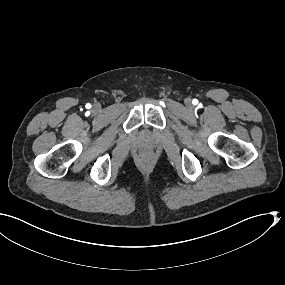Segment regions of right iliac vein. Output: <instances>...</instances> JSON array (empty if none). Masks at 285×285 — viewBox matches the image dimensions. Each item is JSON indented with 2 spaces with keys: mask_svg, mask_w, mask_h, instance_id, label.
I'll return each mask as SVG.
<instances>
[{
  "mask_svg": "<svg viewBox=\"0 0 285 285\" xmlns=\"http://www.w3.org/2000/svg\"><path fill=\"white\" fill-rule=\"evenodd\" d=\"M93 110H95L96 112H98L100 110V106L99 105H94L93 106Z\"/></svg>",
  "mask_w": 285,
  "mask_h": 285,
  "instance_id": "obj_1",
  "label": "right iliac vein"
}]
</instances>
